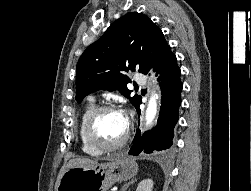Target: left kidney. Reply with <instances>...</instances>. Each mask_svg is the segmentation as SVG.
<instances>
[{"instance_id": "obj_1", "label": "left kidney", "mask_w": 251, "mask_h": 191, "mask_svg": "<svg viewBox=\"0 0 251 191\" xmlns=\"http://www.w3.org/2000/svg\"><path fill=\"white\" fill-rule=\"evenodd\" d=\"M152 187H153L152 179H142V181L138 183L136 191H152Z\"/></svg>"}]
</instances>
